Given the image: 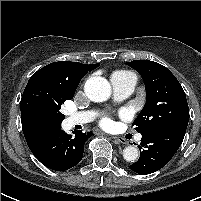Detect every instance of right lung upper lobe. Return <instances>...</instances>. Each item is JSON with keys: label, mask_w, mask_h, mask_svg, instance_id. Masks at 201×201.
Masks as SVG:
<instances>
[{"label": "right lung upper lobe", "mask_w": 201, "mask_h": 201, "mask_svg": "<svg viewBox=\"0 0 201 201\" xmlns=\"http://www.w3.org/2000/svg\"><path fill=\"white\" fill-rule=\"evenodd\" d=\"M100 64L86 65L78 62L59 61L46 65L38 72L45 73L56 80L66 83L72 88H77L81 78H83L89 71H92ZM22 119V118H21ZM60 128L58 126H40L22 119V129L26 141H30L43 132L50 129Z\"/></svg>", "instance_id": "1"}]
</instances>
